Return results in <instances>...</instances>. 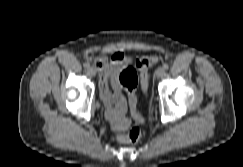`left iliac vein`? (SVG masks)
<instances>
[{
    "instance_id": "1",
    "label": "left iliac vein",
    "mask_w": 243,
    "mask_h": 167,
    "mask_svg": "<svg viewBox=\"0 0 243 167\" xmlns=\"http://www.w3.org/2000/svg\"><path fill=\"white\" fill-rule=\"evenodd\" d=\"M165 75V69L162 68V67H159L157 70H156V76L158 78L160 77H163Z\"/></svg>"
}]
</instances>
